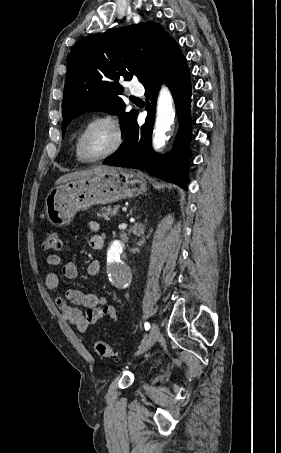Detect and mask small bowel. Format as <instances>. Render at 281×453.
<instances>
[{
    "label": "small bowel",
    "instance_id": "c3829d8e",
    "mask_svg": "<svg viewBox=\"0 0 281 453\" xmlns=\"http://www.w3.org/2000/svg\"><path fill=\"white\" fill-rule=\"evenodd\" d=\"M88 230L91 233H98L101 230L99 223L91 221L88 224ZM103 238L93 237L90 241L94 251L103 250ZM49 266H57L61 263V258L57 255L47 257ZM101 270V264L98 261H90L86 265L87 276H97ZM62 274L66 279H76L79 276V270L75 261H66L62 263ZM45 283L47 288L59 291L63 296L56 297L54 305L63 314L67 321L73 324L80 332H85L87 328L100 319L108 317L117 320L116 309L113 306H107L105 301L91 293L74 288H63L60 284V278L57 272L48 271L45 274ZM82 307L84 310L73 307L72 305Z\"/></svg>",
    "mask_w": 281,
    "mask_h": 453
}]
</instances>
